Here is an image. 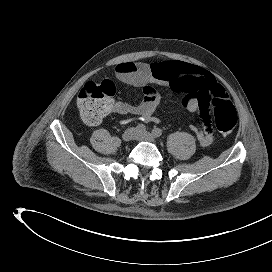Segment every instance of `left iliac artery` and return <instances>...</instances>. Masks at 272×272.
<instances>
[{
    "mask_svg": "<svg viewBox=\"0 0 272 272\" xmlns=\"http://www.w3.org/2000/svg\"><path fill=\"white\" fill-rule=\"evenodd\" d=\"M152 134L155 136V137H160L162 135V130L160 128H154L152 130Z\"/></svg>",
    "mask_w": 272,
    "mask_h": 272,
    "instance_id": "left-iliac-artery-1",
    "label": "left iliac artery"
}]
</instances>
